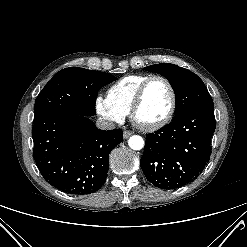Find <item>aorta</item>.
Instances as JSON below:
<instances>
[{
  "label": "aorta",
  "mask_w": 247,
  "mask_h": 247,
  "mask_svg": "<svg viewBox=\"0 0 247 247\" xmlns=\"http://www.w3.org/2000/svg\"><path fill=\"white\" fill-rule=\"evenodd\" d=\"M128 145L133 150H141L144 147V140L139 135H133L129 138Z\"/></svg>",
  "instance_id": "1"
}]
</instances>
